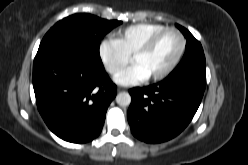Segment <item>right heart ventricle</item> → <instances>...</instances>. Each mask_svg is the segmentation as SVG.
<instances>
[{
	"label": "right heart ventricle",
	"mask_w": 248,
	"mask_h": 165,
	"mask_svg": "<svg viewBox=\"0 0 248 165\" xmlns=\"http://www.w3.org/2000/svg\"><path fill=\"white\" fill-rule=\"evenodd\" d=\"M164 28L158 23H138L117 31L114 39L131 56L152 34Z\"/></svg>",
	"instance_id": "obj_1"
}]
</instances>
